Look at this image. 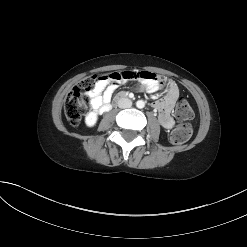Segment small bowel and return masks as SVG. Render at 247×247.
<instances>
[{"label": "small bowel", "mask_w": 247, "mask_h": 247, "mask_svg": "<svg viewBox=\"0 0 247 247\" xmlns=\"http://www.w3.org/2000/svg\"><path fill=\"white\" fill-rule=\"evenodd\" d=\"M127 81L131 83L140 82V88L148 93H155L162 87H166L164 98L154 102L153 106L159 112L158 119L161 126L171 129L175 123L172 111L179 98V89L172 80L158 79V76L152 70H121L101 75V79L88 92L91 108L100 113L110 110V102L115 90L119 84Z\"/></svg>", "instance_id": "obj_1"}]
</instances>
